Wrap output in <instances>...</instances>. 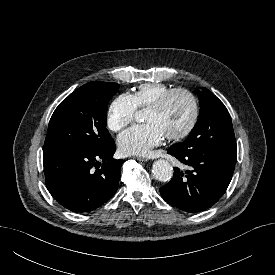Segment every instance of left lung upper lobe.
Returning a JSON list of instances; mask_svg holds the SVG:
<instances>
[{
  "label": "left lung upper lobe",
  "instance_id": "left-lung-upper-lobe-1",
  "mask_svg": "<svg viewBox=\"0 0 275 275\" xmlns=\"http://www.w3.org/2000/svg\"><path fill=\"white\" fill-rule=\"evenodd\" d=\"M199 119L182 143L172 145L180 151L209 149L237 153L231 117L224 104L207 88L198 94Z\"/></svg>",
  "mask_w": 275,
  "mask_h": 275
}]
</instances>
